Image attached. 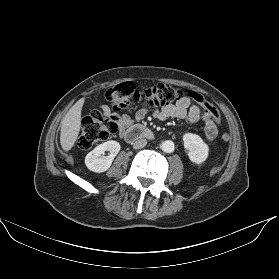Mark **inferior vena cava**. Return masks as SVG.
Returning <instances> with one entry per match:
<instances>
[{
    "label": "inferior vena cava",
    "mask_w": 279,
    "mask_h": 279,
    "mask_svg": "<svg viewBox=\"0 0 279 279\" xmlns=\"http://www.w3.org/2000/svg\"><path fill=\"white\" fill-rule=\"evenodd\" d=\"M147 144V140L146 139H139V140H136L134 143H133V147L135 149H141L143 147H145Z\"/></svg>",
    "instance_id": "obj_1"
}]
</instances>
